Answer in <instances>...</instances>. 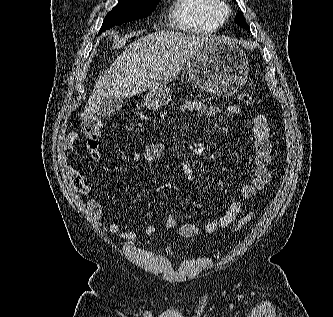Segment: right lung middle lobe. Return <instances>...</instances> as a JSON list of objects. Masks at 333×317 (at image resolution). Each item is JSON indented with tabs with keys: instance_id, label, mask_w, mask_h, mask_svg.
<instances>
[{
	"instance_id": "dd1d6c3e",
	"label": "right lung middle lobe",
	"mask_w": 333,
	"mask_h": 317,
	"mask_svg": "<svg viewBox=\"0 0 333 317\" xmlns=\"http://www.w3.org/2000/svg\"><path fill=\"white\" fill-rule=\"evenodd\" d=\"M159 1L119 0L118 5L109 12L102 24L100 32L114 25L148 16L156 8Z\"/></svg>"
}]
</instances>
